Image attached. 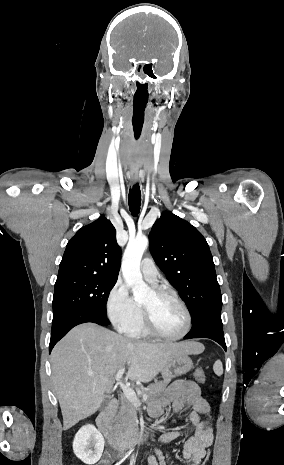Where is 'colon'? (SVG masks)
Wrapping results in <instances>:
<instances>
[{
  "mask_svg": "<svg viewBox=\"0 0 284 465\" xmlns=\"http://www.w3.org/2000/svg\"><path fill=\"white\" fill-rule=\"evenodd\" d=\"M194 377L196 379L197 382L199 383H204L206 382L207 380V376H206V373L204 370L202 369H196L195 372H194ZM211 453H212V450L211 449H208L207 450V453H206V457H204V462H201L200 465H208L207 462H209V458H211Z\"/></svg>",
  "mask_w": 284,
  "mask_h": 465,
  "instance_id": "5ec220e1",
  "label": "colon"
}]
</instances>
